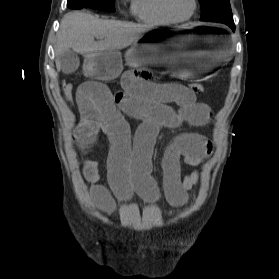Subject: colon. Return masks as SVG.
<instances>
[{"mask_svg": "<svg viewBox=\"0 0 279 279\" xmlns=\"http://www.w3.org/2000/svg\"><path fill=\"white\" fill-rule=\"evenodd\" d=\"M62 89H63V95H64V98L67 100V101H72V99L74 98L75 96V87L73 84L71 83H67V84H64L62 86ZM189 89L194 93V94H198V93H202L204 91V85L201 84V83H192L190 86H189Z\"/></svg>", "mask_w": 279, "mask_h": 279, "instance_id": "5ec220e1", "label": "colon"}]
</instances>
